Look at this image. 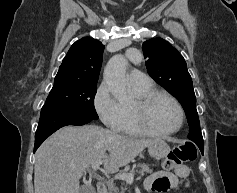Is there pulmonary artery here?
<instances>
[{
  "label": "pulmonary artery",
  "instance_id": "e3ab8cb5",
  "mask_svg": "<svg viewBox=\"0 0 237 193\" xmlns=\"http://www.w3.org/2000/svg\"><path fill=\"white\" fill-rule=\"evenodd\" d=\"M128 77L131 85L134 87H148L152 85L151 78L140 71H131Z\"/></svg>",
  "mask_w": 237,
  "mask_h": 193
}]
</instances>
